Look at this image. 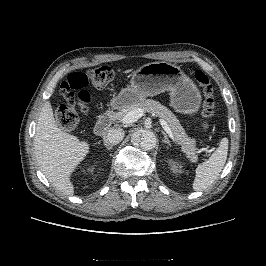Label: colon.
I'll return each mask as SVG.
<instances>
[{
  "label": "colon",
  "instance_id": "1",
  "mask_svg": "<svg viewBox=\"0 0 266 266\" xmlns=\"http://www.w3.org/2000/svg\"><path fill=\"white\" fill-rule=\"evenodd\" d=\"M192 74L203 89L202 116L210 118L214 113L215 97L209 77L201 70H193ZM113 79V71L108 66H98L87 72L70 74L61 84L60 94L63 101L56 112L58 124L65 129H73L78 125L80 115H86L90 109L91 96L86 89L89 82L94 88L107 87ZM208 129L206 122L201 123L200 130Z\"/></svg>",
  "mask_w": 266,
  "mask_h": 266
}]
</instances>
